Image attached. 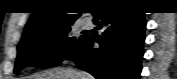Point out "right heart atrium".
<instances>
[{
  "label": "right heart atrium",
  "instance_id": "d8ad5b80",
  "mask_svg": "<svg viewBox=\"0 0 177 79\" xmlns=\"http://www.w3.org/2000/svg\"><path fill=\"white\" fill-rule=\"evenodd\" d=\"M57 48H58V46L56 43L51 46V49H53V50H56Z\"/></svg>",
  "mask_w": 177,
  "mask_h": 79
}]
</instances>
